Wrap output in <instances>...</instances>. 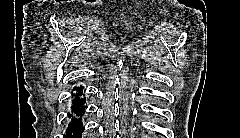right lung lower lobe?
<instances>
[{
  "mask_svg": "<svg viewBox=\"0 0 240 138\" xmlns=\"http://www.w3.org/2000/svg\"><path fill=\"white\" fill-rule=\"evenodd\" d=\"M73 90H77V94L75 99L73 100L72 105V114H68L69 118H71V122L67 128L66 138H81V134L84 131V127L82 126V122L73 117L75 114L77 117H81L83 115V105L85 104V98H80L83 95V87H75Z\"/></svg>",
  "mask_w": 240,
  "mask_h": 138,
  "instance_id": "98d812e1",
  "label": "right lung lower lobe"
}]
</instances>
